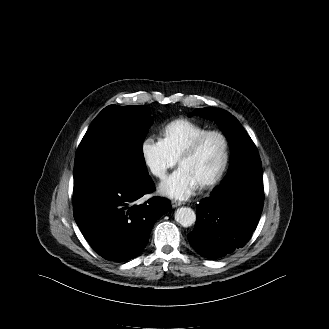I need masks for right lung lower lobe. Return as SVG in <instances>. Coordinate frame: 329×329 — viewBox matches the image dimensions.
Returning a JSON list of instances; mask_svg holds the SVG:
<instances>
[{
    "label": "right lung lower lobe",
    "instance_id": "98d812e1",
    "mask_svg": "<svg viewBox=\"0 0 329 329\" xmlns=\"http://www.w3.org/2000/svg\"><path fill=\"white\" fill-rule=\"evenodd\" d=\"M153 190L150 176L137 185L110 177H92L74 185V219L100 256L123 262L140 254L154 223L171 209L170 202L159 197L133 204Z\"/></svg>",
    "mask_w": 329,
    "mask_h": 329
}]
</instances>
